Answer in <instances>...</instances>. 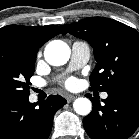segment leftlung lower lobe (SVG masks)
Instances as JSON below:
<instances>
[{"mask_svg": "<svg viewBox=\"0 0 139 139\" xmlns=\"http://www.w3.org/2000/svg\"><path fill=\"white\" fill-rule=\"evenodd\" d=\"M99 100L91 97L93 110L83 119L91 139H127L139 126V79L130 80Z\"/></svg>", "mask_w": 139, "mask_h": 139, "instance_id": "obj_1", "label": "left lung lower lobe"}]
</instances>
